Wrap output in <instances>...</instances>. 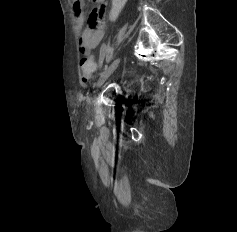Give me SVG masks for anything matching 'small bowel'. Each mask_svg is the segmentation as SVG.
<instances>
[{"label":"small bowel","mask_w":237,"mask_h":232,"mask_svg":"<svg viewBox=\"0 0 237 232\" xmlns=\"http://www.w3.org/2000/svg\"><path fill=\"white\" fill-rule=\"evenodd\" d=\"M85 1H94L97 6L92 9L87 24L83 10ZM108 0H75L73 7L76 23L81 34L79 37L80 52L87 55L102 40L105 28V13Z\"/></svg>","instance_id":"1"}]
</instances>
